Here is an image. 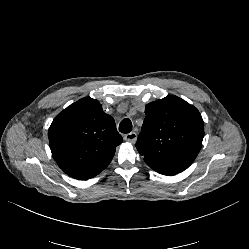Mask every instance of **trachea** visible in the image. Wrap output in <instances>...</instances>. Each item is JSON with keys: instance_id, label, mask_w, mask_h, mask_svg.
<instances>
[{"instance_id": "3493384b", "label": "trachea", "mask_w": 249, "mask_h": 249, "mask_svg": "<svg viewBox=\"0 0 249 249\" xmlns=\"http://www.w3.org/2000/svg\"><path fill=\"white\" fill-rule=\"evenodd\" d=\"M119 131L124 134L132 131V122L130 121V119L126 118L121 121L119 125Z\"/></svg>"}]
</instances>
